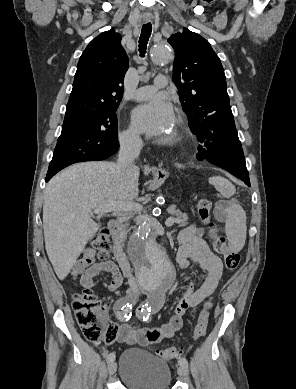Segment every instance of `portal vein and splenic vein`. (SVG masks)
<instances>
[{
	"mask_svg": "<svg viewBox=\"0 0 296 389\" xmlns=\"http://www.w3.org/2000/svg\"><path fill=\"white\" fill-rule=\"evenodd\" d=\"M142 210V205L132 201H117L109 205H106L102 208L94 210L96 214H104L108 212H120V211H140ZM174 217H169L165 221L167 227H171L174 224Z\"/></svg>",
	"mask_w": 296,
	"mask_h": 389,
	"instance_id": "portal-vein-and-splenic-vein-1",
	"label": "portal vein and splenic vein"
}]
</instances>
